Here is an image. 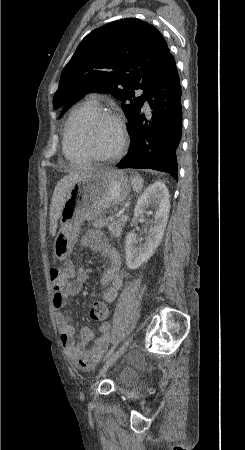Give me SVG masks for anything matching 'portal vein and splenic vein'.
I'll return each instance as SVG.
<instances>
[{
  "instance_id": "1",
  "label": "portal vein and splenic vein",
  "mask_w": 245,
  "mask_h": 450,
  "mask_svg": "<svg viewBox=\"0 0 245 450\" xmlns=\"http://www.w3.org/2000/svg\"><path fill=\"white\" fill-rule=\"evenodd\" d=\"M127 218H128L127 215H122V216H121V220H123V221H126Z\"/></svg>"
}]
</instances>
